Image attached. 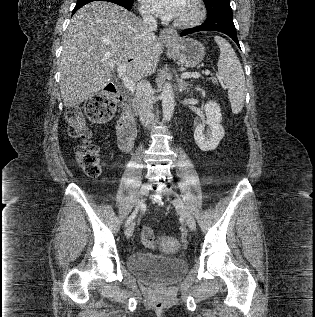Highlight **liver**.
I'll return each instance as SVG.
<instances>
[{"label": "liver", "instance_id": "1", "mask_svg": "<svg viewBox=\"0 0 315 317\" xmlns=\"http://www.w3.org/2000/svg\"><path fill=\"white\" fill-rule=\"evenodd\" d=\"M62 46L60 92L66 107L98 94L122 63L132 81L154 74L162 53L157 37L148 34L141 19L102 1L89 3L74 14Z\"/></svg>", "mask_w": 315, "mask_h": 317}]
</instances>
